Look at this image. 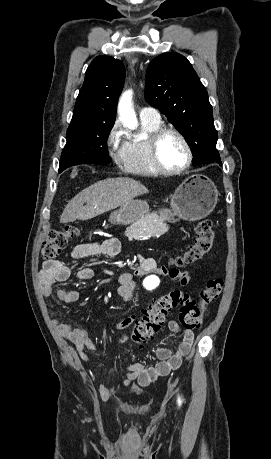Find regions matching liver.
<instances>
[{"label":"liver","mask_w":271,"mask_h":459,"mask_svg":"<svg viewBox=\"0 0 271 459\" xmlns=\"http://www.w3.org/2000/svg\"><path fill=\"white\" fill-rule=\"evenodd\" d=\"M141 194H148L147 188L132 178L101 180L85 188L70 200L60 218V224L75 222V220H90L104 212L115 210L118 206H124L126 202ZM85 202L87 206H84Z\"/></svg>","instance_id":"obj_1"}]
</instances>
